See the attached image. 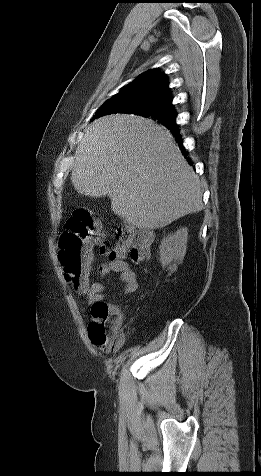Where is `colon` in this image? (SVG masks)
Segmentation results:
<instances>
[{
	"mask_svg": "<svg viewBox=\"0 0 261 476\" xmlns=\"http://www.w3.org/2000/svg\"><path fill=\"white\" fill-rule=\"evenodd\" d=\"M99 222L86 209H78L67 220L66 230L59 239V259L64 268L65 278L76 289L86 287L91 271L90 247L101 237ZM117 245L113 249L102 247L101 251L110 259H122L128 256L132 262L143 261L149 253L150 234L137 230L130 225H122L115 231ZM92 321L89 324V337L94 345L104 351L120 347L124 335L120 329L108 327L112 314L106 302L92 307Z\"/></svg>",
	"mask_w": 261,
	"mask_h": 476,
	"instance_id": "1",
	"label": "colon"
}]
</instances>
